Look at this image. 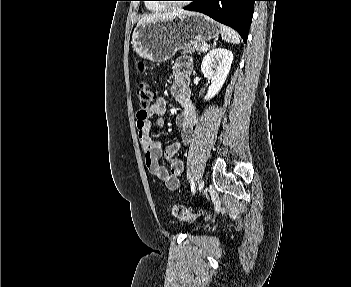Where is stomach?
<instances>
[{
	"label": "stomach",
	"instance_id": "stomach-1",
	"mask_svg": "<svg viewBox=\"0 0 351 287\" xmlns=\"http://www.w3.org/2000/svg\"><path fill=\"white\" fill-rule=\"evenodd\" d=\"M221 25L203 14L189 15L137 25L132 35L134 52L144 59L162 63L193 41L218 37Z\"/></svg>",
	"mask_w": 351,
	"mask_h": 287
}]
</instances>
